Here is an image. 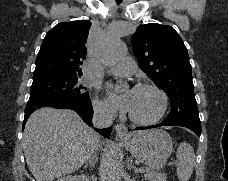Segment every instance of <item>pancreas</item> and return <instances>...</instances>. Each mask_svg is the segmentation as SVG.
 I'll use <instances>...</instances> for the list:
<instances>
[{
    "label": "pancreas",
    "mask_w": 228,
    "mask_h": 181,
    "mask_svg": "<svg viewBox=\"0 0 228 181\" xmlns=\"http://www.w3.org/2000/svg\"><path fill=\"white\" fill-rule=\"evenodd\" d=\"M145 181H166V175L164 173H156V171H150L147 167H144Z\"/></svg>",
    "instance_id": "obj_1"
}]
</instances>
